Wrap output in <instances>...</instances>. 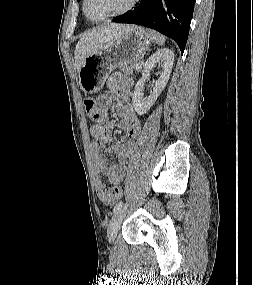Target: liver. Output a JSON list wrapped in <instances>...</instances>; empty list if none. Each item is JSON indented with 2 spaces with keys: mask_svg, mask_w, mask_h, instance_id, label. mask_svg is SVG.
Here are the masks:
<instances>
[{
  "mask_svg": "<svg viewBox=\"0 0 253 285\" xmlns=\"http://www.w3.org/2000/svg\"><path fill=\"white\" fill-rule=\"evenodd\" d=\"M132 27L133 25L111 24L85 32L75 48V65L77 71L79 72L85 58L102 49Z\"/></svg>",
  "mask_w": 253,
  "mask_h": 285,
  "instance_id": "6515ba94",
  "label": "liver"
}]
</instances>
